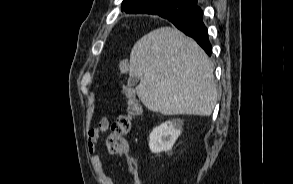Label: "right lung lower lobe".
<instances>
[{"mask_svg": "<svg viewBox=\"0 0 293 184\" xmlns=\"http://www.w3.org/2000/svg\"><path fill=\"white\" fill-rule=\"evenodd\" d=\"M165 18L193 38L211 56L212 47L208 39L207 28L202 20L203 12L196 4L178 9L174 14Z\"/></svg>", "mask_w": 293, "mask_h": 184, "instance_id": "obj_1", "label": "right lung lower lobe"}]
</instances>
